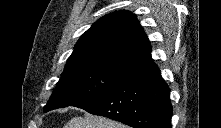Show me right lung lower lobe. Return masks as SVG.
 <instances>
[{
    "instance_id": "obj_1",
    "label": "right lung lower lobe",
    "mask_w": 221,
    "mask_h": 128,
    "mask_svg": "<svg viewBox=\"0 0 221 128\" xmlns=\"http://www.w3.org/2000/svg\"><path fill=\"white\" fill-rule=\"evenodd\" d=\"M75 106L133 128H171L170 89L153 61Z\"/></svg>"
}]
</instances>
